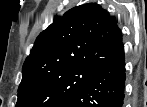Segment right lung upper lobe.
I'll return each instance as SVG.
<instances>
[{"label":"right lung upper lobe","instance_id":"cb5924a9","mask_svg":"<svg viewBox=\"0 0 147 107\" xmlns=\"http://www.w3.org/2000/svg\"><path fill=\"white\" fill-rule=\"evenodd\" d=\"M123 46L114 17L96 3L67 11L37 37L26 58L23 76L76 66L99 68Z\"/></svg>","mask_w":147,"mask_h":107}]
</instances>
